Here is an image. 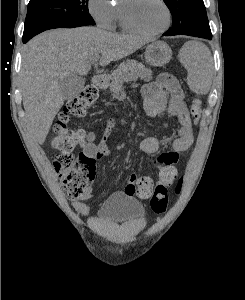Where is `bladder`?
<instances>
[{
  "label": "bladder",
  "instance_id": "31cf9c89",
  "mask_svg": "<svg viewBox=\"0 0 245 300\" xmlns=\"http://www.w3.org/2000/svg\"><path fill=\"white\" fill-rule=\"evenodd\" d=\"M97 218L106 222H144L146 212L143 205L134 197L126 194H115L100 206Z\"/></svg>",
  "mask_w": 245,
  "mask_h": 300
}]
</instances>
